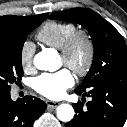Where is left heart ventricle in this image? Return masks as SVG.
<instances>
[{"label": "left heart ventricle", "mask_w": 127, "mask_h": 127, "mask_svg": "<svg viewBox=\"0 0 127 127\" xmlns=\"http://www.w3.org/2000/svg\"><path fill=\"white\" fill-rule=\"evenodd\" d=\"M85 56H86V50L83 44H80L74 53L73 56V61L77 66H80L83 64L84 60H85ZM61 63L63 64V60L62 58H60Z\"/></svg>", "instance_id": "1"}]
</instances>
